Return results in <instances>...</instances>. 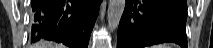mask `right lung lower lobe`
<instances>
[{"label": "right lung lower lobe", "instance_id": "obj_1", "mask_svg": "<svg viewBox=\"0 0 213 48\" xmlns=\"http://www.w3.org/2000/svg\"><path fill=\"white\" fill-rule=\"evenodd\" d=\"M101 0H31V40L87 48Z\"/></svg>", "mask_w": 213, "mask_h": 48}]
</instances>
